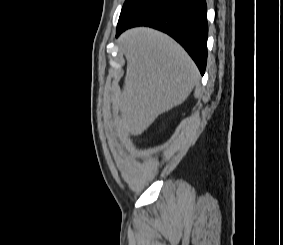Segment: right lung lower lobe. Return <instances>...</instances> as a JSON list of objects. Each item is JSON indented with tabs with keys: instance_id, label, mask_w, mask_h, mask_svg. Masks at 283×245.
I'll list each match as a JSON object with an SVG mask.
<instances>
[{
	"instance_id": "1",
	"label": "right lung lower lobe",
	"mask_w": 283,
	"mask_h": 245,
	"mask_svg": "<svg viewBox=\"0 0 283 245\" xmlns=\"http://www.w3.org/2000/svg\"><path fill=\"white\" fill-rule=\"evenodd\" d=\"M205 0H150L117 25V36L134 26H150L178 41L203 75L207 62L208 25Z\"/></svg>"
}]
</instances>
